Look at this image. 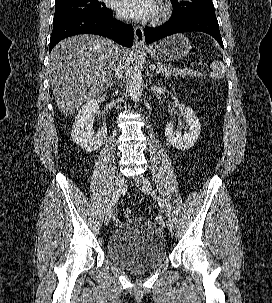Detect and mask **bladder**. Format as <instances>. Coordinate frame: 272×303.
Listing matches in <instances>:
<instances>
[{"label":"bladder","mask_w":272,"mask_h":303,"mask_svg":"<svg viewBox=\"0 0 272 303\" xmlns=\"http://www.w3.org/2000/svg\"><path fill=\"white\" fill-rule=\"evenodd\" d=\"M106 255L119 266L141 272L155 269L166 260L167 245L161 229L154 222L130 217L109 236Z\"/></svg>","instance_id":"obj_1"}]
</instances>
